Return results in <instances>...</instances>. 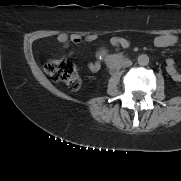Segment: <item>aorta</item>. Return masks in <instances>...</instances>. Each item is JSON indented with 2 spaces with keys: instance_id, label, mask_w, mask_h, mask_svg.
<instances>
[{
  "instance_id": "aorta-1",
  "label": "aorta",
  "mask_w": 181,
  "mask_h": 181,
  "mask_svg": "<svg viewBox=\"0 0 181 181\" xmlns=\"http://www.w3.org/2000/svg\"><path fill=\"white\" fill-rule=\"evenodd\" d=\"M137 62L140 66H146L149 64V57L146 54H141L137 58Z\"/></svg>"
}]
</instances>
